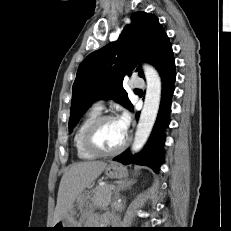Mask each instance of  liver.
<instances>
[{
	"instance_id": "1",
	"label": "liver",
	"mask_w": 231,
	"mask_h": 231,
	"mask_svg": "<svg viewBox=\"0 0 231 231\" xmlns=\"http://www.w3.org/2000/svg\"><path fill=\"white\" fill-rule=\"evenodd\" d=\"M106 167L107 163L103 161L78 162L63 174L58 190L53 225L69 216L76 199L86 188H90Z\"/></svg>"
}]
</instances>
